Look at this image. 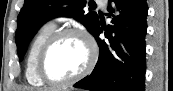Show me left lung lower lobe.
<instances>
[{
	"mask_svg": "<svg viewBox=\"0 0 173 91\" xmlns=\"http://www.w3.org/2000/svg\"><path fill=\"white\" fill-rule=\"evenodd\" d=\"M111 1L108 15L113 25L105 29L108 41L99 38L104 29L99 22L93 33L100 47L98 62L90 76L73 86L92 91H144L146 0Z\"/></svg>",
	"mask_w": 173,
	"mask_h": 91,
	"instance_id": "left-lung-lower-lobe-1",
	"label": "left lung lower lobe"
}]
</instances>
